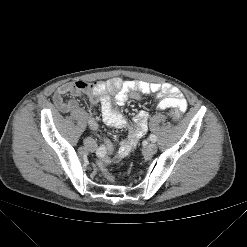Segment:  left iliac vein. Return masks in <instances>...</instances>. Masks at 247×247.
Masks as SVG:
<instances>
[{
  "label": "left iliac vein",
  "instance_id": "1",
  "mask_svg": "<svg viewBox=\"0 0 247 247\" xmlns=\"http://www.w3.org/2000/svg\"><path fill=\"white\" fill-rule=\"evenodd\" d=\"M157 151V145L155 143H150L149 145H147L143 152L146 156H151L153 155L154 153H156Z\"/></svg>",
  "mask_w": 247,
  "mask_h": 247
}]
</instances>
